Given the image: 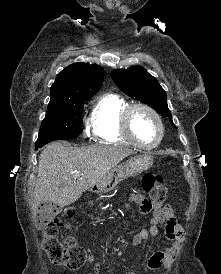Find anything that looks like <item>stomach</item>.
I'll list each match as a JSON object with an SVG mask.
<instances>
[{
  "label": "stomach",
  "instance_id": "1",
  "mask_svg": "<svg viewBox=\"0 0 221 274\" xmlns=\"http://www.w3.org/2000/svg\"><path fill=\"white\" fill-rule=\"evenodd\" d=\"M153 163L151 155L145 153L139 156L130 157L125 162L114 167L107 173L93 188L99 193H107L121 181L138 175L147 170Z\"/></svg>",
  "mask_w": 221,
  "mask_h": 274
}]
</instances>
